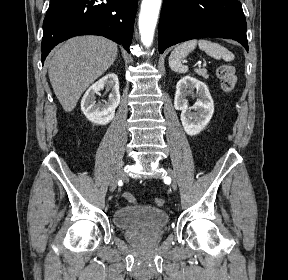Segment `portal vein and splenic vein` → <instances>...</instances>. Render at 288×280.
I'll return each instance as SVG.
<instances>
[{
    "label": "portal vein and splenic vein",
    "instance_id": "1",
    "mask_svg": "<svg viewBox=\"0 0 288 280\" xmlns=\"http://www.w3.org/2000/svg\"><path fill=\"white\" fill-rule=\"evenodd\" d=\"M197 65H198L199 67H201V63H198ZM204 66H206L205 63L203 64V67H204Z\"/></svg>",
    "mask_w": 288,
    "mask_h": 280
}]
</instances>
